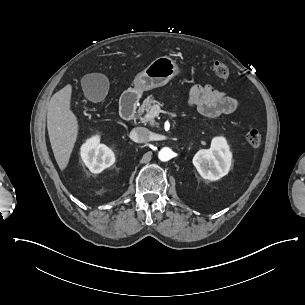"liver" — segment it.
<instances>
[{
  "instance_id": "1",
  "label": "liver",
  "mask_w": 305,
  "mask_h": 305,
  "mask_svg": "<svg viewBox=\"0 0 305 305\" xmlns=\"http://www.w3.org/2000/svg\"><path fill=\"white\" fill-rule=\"evenodd\" d=\"M73 88L67 84L47 104L50 142L62 172L68 168L80 132L78 116L71 110Z\"/></svg>"
}]
</instances>
